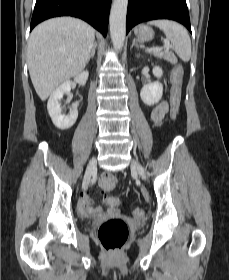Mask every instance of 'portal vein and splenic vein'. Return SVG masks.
<instances>
[{
    "mask_svg": "<svg viewBox=\"0 0 229 280\" xmlns=\"http://www.w3.org/2000/svg\"><path fill=\"white\" fill-rule=\"evenodd\" d=\"M171 47L170 43L168 41L164 42V46L163 47H153L148 49V52H153V51H160L162 49H169Z\"/></svg>",
    "mask_w": 229,
    "mask_h": 280,
    "instance_id": "obj_1",
    "label": "portal vein and splenic vein"
}]
</instances>
